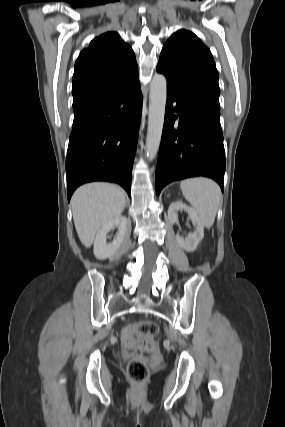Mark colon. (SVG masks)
Listing matches in <instances>:
<instances>
[{"label":"colon","mask_w":285,"mask_h":427,"mask_svg":"<svg viewBox=\"0 0 285 427\" xmlns=\"http://www.w3.org/2000/svg\"><path fill=\"white\" fill-rule=\"evenodd\" d=\"M158 331L157 324L152 321H138L123 330L124 346L136 352L127 367L128 377L136 385H141L148 377L146 355L157 350L155 338Z\"/></svg>","instance_id":"colon-1"}]
</instances>
